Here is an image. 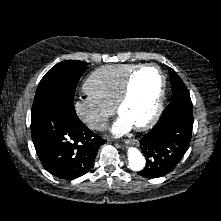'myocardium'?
<instances>
[{
    "label": "myocardium",
    "instance_id": "myocardium-1",
    "mask_svg": "<svg viewBox=\"0 0 221 221\" xmlns=\"http://www.w3.org/2000/svg\"><path fill=\"white\" fill-rule=\"evenodd\" d=\"M146 68H155L159 72L161 76V89H160V93H159L158 100H157L153 114L147 121L135 126V128L138 130H146L152 127L161 116L163 106H164L165 96H166V89H167V77L163 69L155 63H146L135 68L126 78L121 94L114 106L115 111L118 114H120L121 108L125 105V103L130 98L131 90H132V83H133L135 76Z\"/></svg>",
    "mask_w": 221,
    "mask_h": 221
}]
</instances>
